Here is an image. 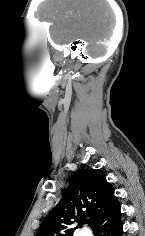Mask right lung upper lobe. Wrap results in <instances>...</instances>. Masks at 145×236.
I'll use <instances>...</instances> for the list:
<instances>
[{
  "instance_id": "obj_1",
  "label": "right lung upper lobe",
  "mask_w": 145,
  "mask_h": 236,
  "mask_svg": "<svg viewBox=\"0 0 145 236\" xmlns=\"http://www.w3.org/2000/svg\"><path fill=\"white\" fill-rule=\"evenodd\" d=\"M69 183V188L45 218L36 236H73L74 230L87 218L94 230L120 207L113 186L100 169L76 171Z\"/></svg>"
}]
</instances>
